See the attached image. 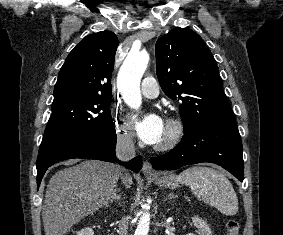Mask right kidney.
I'll return each mask as SVG.
<instances>
[{"instance_id":"obj_1","label":"right kidney","mask_w":283,"mask_h":235,"mask_svg":"<svg viewBox=\"0 0 283 235\" xmlns=\"http://www.w3.org/2000/svg\"><path fill=\"white\" fill-rule=\"evenodd\" d=\"M77 235H94V232L92 228L87 227L77 232Z\"/></svg>"}]
</instances>
